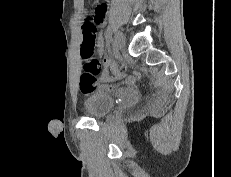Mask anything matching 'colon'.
<instances>
[{
    "label": "colon",
    "instance_id": "1",
    "mask_svg": "<svg viewBox=\"0 0 231 177\" xmlns=\"http://www.w3.org/2000/svg\"><path fill=\"white\" fill-rule=\"evenodd\" d=\"M83 44L81 46V57L83 60V73L80 77V90L87 94L95 90L109 91V85H99L96 76L100 72L99 61L94 57L97 32L93 22H85L82 27ZM137 79L141 75L134 73Z\"/></svg>",
    "mask_w": 231,
    "mask_h": 177
}]
</instances>
